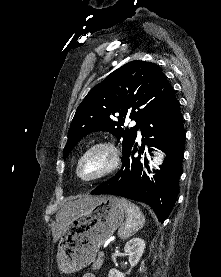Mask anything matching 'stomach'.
Returning <instances> with one entry per match:
<instances>
[{
  "label": "stomach",
  "mask_w": 221,
  "mask_h": 277,
  "mask_svg": "<svg viewBox=\"0 0 221 277\" xmlns=\"http://www.w3.org/2000/svg\"><path fill=\"white\" fill-rule=\"evenodd\" d=\"M124 220V207L114 197H100L74 216L58 244L57 263L67 274L90 265L100 247Z\"/></svg>",
  "instance_id": "obj_1"
}]
</instances>
